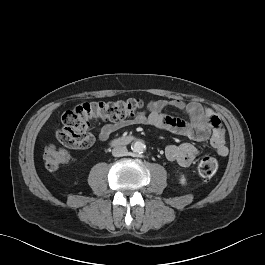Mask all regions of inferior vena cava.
Returning a JSON list of instances; mask_svg holds the SVG:
<instances>
[{"label":"inferior vena cava","mask_w":265,"mask_h":265,"mask_svg":"<svg viewBox=\"0 0 265 265\" xmlns=\"http://www.w3.org/2000/svg\"><path fill=\"white\" fill-rule=\"evenodd\" d=\"M127 153H128V150H127V148L125 146H116L112 150V155L114 157L126 156Z\"/></svg>","instance_id":"602c4592"}]
</instances>
